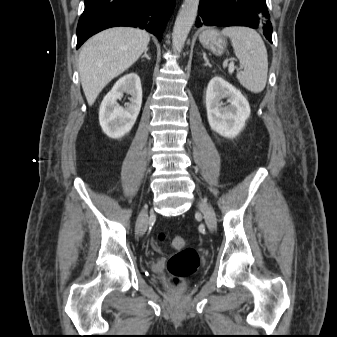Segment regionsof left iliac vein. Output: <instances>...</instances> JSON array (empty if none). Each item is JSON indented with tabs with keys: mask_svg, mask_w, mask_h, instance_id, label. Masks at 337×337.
<instances>
[{
	"mask_svg": "<svg viewBox=\"0 0 337 337\" xmlns=\"http://www.w3.org/2000/svg\"><path fill=\"white\" fill-rule=\"evenodd\" d=\"M198 209L203 213L205 222L210 231L216 228V215L213 208L204 200L198 202Z\"/></svg>",
	"mask_w": 337,
	"mask_h": 337,
	"instance_id": "obj_1",
	"label": "left iliac vein"
}]
</instances>
